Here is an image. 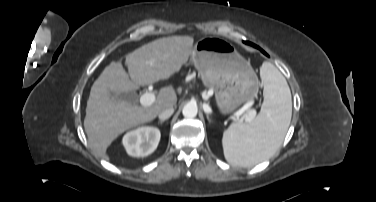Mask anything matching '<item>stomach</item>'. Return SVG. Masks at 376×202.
Wrapping results in <instances>:
<instances>
[{
  "mask_svg": "<svg viewBox=\"0 0 376 202\" xmlns=\"http://www.w3.org/2000/svg\"><path fill=\"white\" fill-rule=\"evenodd\" d=\"M190 60L205 86L213 88L222 114L256 97L257 76L250 63L227 40L204 37L196 42Z\"/></svg>",
  "mask_w": 376,
  "mask_h": 202,
  "instance_id": "obj_1",
  "label": "stomach"
}]
</instances>
